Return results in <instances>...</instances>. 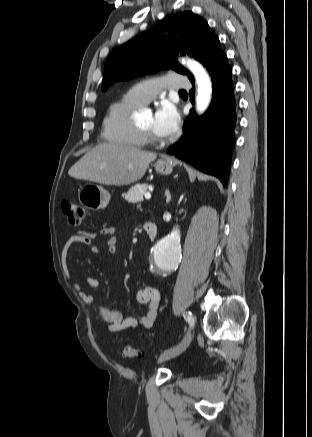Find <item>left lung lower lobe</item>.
Here are the masks:
<instances>
[{
    "mask_svg": "<svg viewBox=\"0 0 312 437\" xmlns=\"http://www.w3.org/2000/svg\"><path fill=\"white\" fill-rule=\"evenodd\" d=\"M208 72L213 83L211 104L201 117L191 111L183 127V136L168 152L217 176L226 186L235 145L236 101L231 68L223 51L212 61ZM190 99L193 103L194 90Z\"/></svg>",
    "mask_w": 312,
    "mask_h": 437,
    "instance_id": "left-lung-lower-lobe-1",
    "label": "left lung lower lobe"
}]
</instances>
